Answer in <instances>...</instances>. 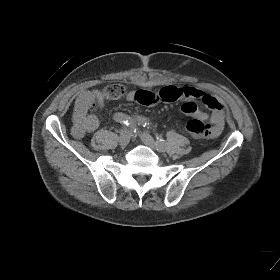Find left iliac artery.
Here are the masks:
<instances>
[{
	"mask_svg": "<svg viewBox=\"0 0 280 280\" xmlns=\"http://www.w3.org/2000/svg\"><path fill=\"white\" fill-rule=\"evenodd\" d=\"M136 120L138 121V123L140 125H142L144 127L149 128L150 125H151V123H149V121L145 117L137 116ZM156 145L160 149H165L166 148V142L162 138H159V137H157Z\"/></svg>",
	"mask_w": 280,
	"mask_h": 280,
	"instance_id": "left-iliac-artery-1",
	"label": "left iliac artery"
}]
</instances>
